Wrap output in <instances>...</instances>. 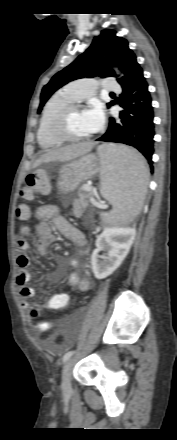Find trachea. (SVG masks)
Listing matches in <instances>:
<instances>
[{"label":"trachea","instance_id":"1","mask_svg":"<svg viewBox=\"0 0 177 440\" xmlns=\"http://www.w3.org/2000/svg\"><path fill=\"white\" fill-rule=\"evenodd\" d=\"M110 95H114V93H113V92H111V93H110Z\"/></svg>","mask_w":177,"mask_h":440}]
</instances>
